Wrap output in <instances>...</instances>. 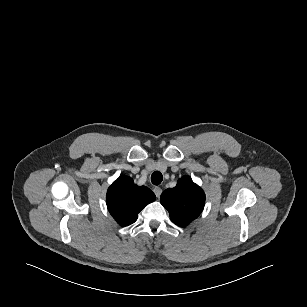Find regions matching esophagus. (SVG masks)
<instances>
[{
	"instance_id": "obj_1",
	"label": "esophagus",
	"mask_w": 307,
	"mask_h": 307,
	"mask_svg": "<svg viewBox=\"0 0 307 307\" xmlns=\"http://www.w3.org/2000/svg\"><path fill=\"white\" fill-rule=\"evenodd\" d=\"M153 191H154L156 197L159 198L161 193H162V189L160 187H154Z\"/></svg>"
}]
</instances>
